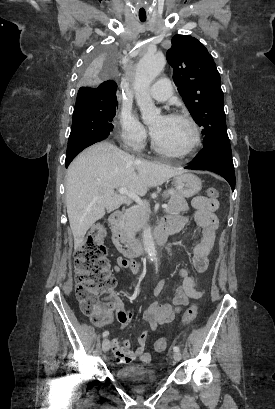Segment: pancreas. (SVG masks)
Wrapping results in <instances>:
<instances>
[{"mask_svg":"<svg viewBox=\"0 0 275 409\" xmlns=\"http://www.w3.org/2000/svg\"><path fill=\"white\" fill-rule=\"evenodd\" d=\"M162 196H165V198L170 196L168 209H166L167 213H181V211H188V202H186L184 196L179 194L174 188L164 190ZM149 215L150 211L145 205H136V207L127 211L123 219L119 221V229H122L128 237L134 239L137 231H140V229H143L144 225H146Z\"/></svg>","mask_w":275,"mask_h":409,"instance_id":"pancreas-1","label":"pancreas"}]
</instances>
